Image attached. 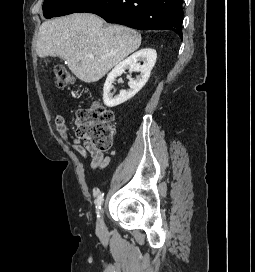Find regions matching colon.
I'll list each match as a JSON object with an SVG mask.
<instances>
[{"label": "colon", "instance_id": "obj_1", "mask_svg": "<svg viewBox=\"0 0 255 272\" xmlns=\"http://www.w3.org/2000/svg\"><path fill=\"white\" fill-rule=\"evenodd\" d=\"M53 72L59 89H67L75 83L74 76L67 69L55 68ZM75 125L79 140L101 152L111 149L115 132V117L112 110L100 104L79 109Z\"/></svg>", "mask_w": 255, "mask_h": 272}]
</instances>
